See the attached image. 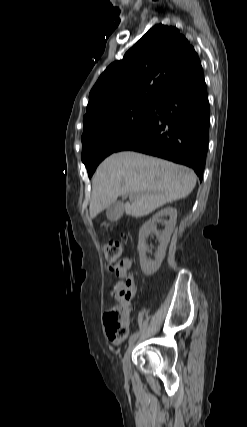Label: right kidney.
Segmentation results:
<instances>
[{"label": "right kidney", "mask_w": 247, "mask_h": 427, "mask_svg": "<svg viewBox=\"0 0 247 427\" xmlns=\"http://www.w3.org/2000/svg\"><path fill=\"white\" fill-rule=\"evenodd\" d=\"M168 217V220H163L165 229L162 232L157 230L156 223L162 221V218ZM177 219V210L172 207H166L157 212L150 220L143 224L139 231L138 252L140 257V266L142 272L147 275H153L161 266L165 257L166 249L170 241L172 232L174 231ZM155 234L159 240L158 251L155 254V260L147 259L146 238L151 234Z\"/></svg>", "instance_id": "ca27d5eb"}]
</instances>
